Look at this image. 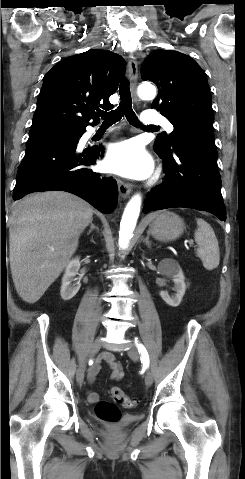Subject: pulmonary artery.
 Returning a JSON list of instances; mask_svg holds the SVG:
<instances>
[{"mask_svg":"<svg viewBox=\"0 0 245 479\" xmlns=\"http://www.w3.org/2000/svg\"><path fill=\"white\" fill-rule=\"evenodd\" d=\"M142 121L149 126L156 127L157 125H162L167 129L168 132L173 131V125L164 116L156 113L154 110L144 111L142 114ZM95 131L96 129H94L92 132Z\"/></svg>","mask_w":245,"mask_h":479,"instance_id":"obj_1","label":"pulmonary artery"}]
</instances>
